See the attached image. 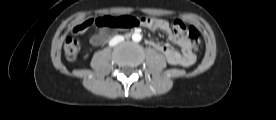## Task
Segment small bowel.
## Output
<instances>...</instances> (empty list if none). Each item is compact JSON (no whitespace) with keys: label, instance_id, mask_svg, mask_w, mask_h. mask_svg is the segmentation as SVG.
Listing matches in <instances>:
<instances>
[{"label":"small bowel","instance_id":"small-bowel-1","mask_svg":"<svg viewBox=\"0 0 276 120\" xmlns=\"http://www.w3.org/2000/svg\"><path fill=\"white\" fill-rule=\"evenodd\" d=\"M144 25L152 28V29H159L165 32L168 36V39L171 43H174L178 45L181 48V51H177L170 47L168 44H161L153 40H148L147 44L156 50H158L160 53L164 55L167 62L171 65H178L183 67H189L191 66L195 61V56L192 53V45L188 39H179L177 38L167 21L162 19H155L153 18L152 22L150 23H143ZM74 33H77L75 31V28L73 29ZM83 33V32H82ZM104 40V33L99 32L94 35H92L90 41L92 45L99 46L102 44Z\"/></svg>","mask_w":276,"mask_h":120}]
</instances>
